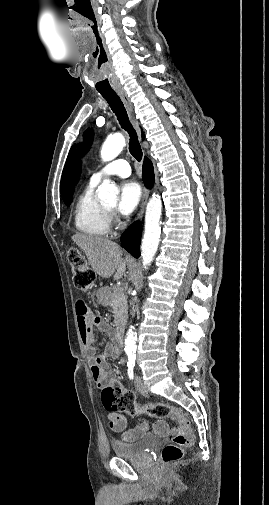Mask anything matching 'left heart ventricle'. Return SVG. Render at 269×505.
I'll return each instance as SVG.
<instances>
[{
	"label": "left heart ventricle",
	"mask_w": 269,
	"mask_h": 505,
	"mask_svg": "<svg viewBox=\"0 0 269 505\" xmlns=\"http://www.w3.org/2000/svg\"><path fill=\"white\" fill-rule=\"evenodd\" d=\"M108 207H109V208L113 207V204H112V205H109Z\"/></svg>",
	"instance_id": "1"
}]
</instances>
